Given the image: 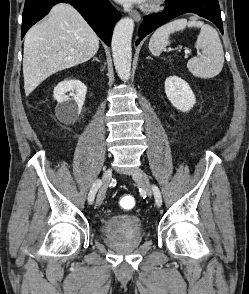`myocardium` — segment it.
<instances>
[{
    "mask_svg": "<svg viewBox=\"0 0 249 294\" xmlns=\"http://www.w3.org/2000/svg\"><path fill=\"white\" fill-rule=\"evenodd\" d=\"M165 0H150L148 4L149 9H156L158 8Z\"/></svg>",
    "mask_w": 249,
    "mask_h": 294,
    "instance_id": "myocardium-1",
    "label": "myocardium"
}]
</instances>
